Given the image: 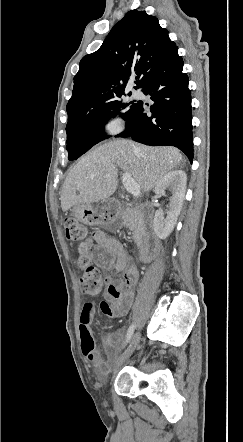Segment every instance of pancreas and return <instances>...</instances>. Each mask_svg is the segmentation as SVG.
I'll use <instances>...</instances> for the list:
<instances>
[{"label":"pancreas","mask_w":243,"mask_h":442,"mask_svg":"<svg viewBox=\"0 0 243 442\" xmlns=\"http://www.w3.org/2000/svg\"><path fill=\"white\" fill-rule=\"evenodd\" d=\"M121 224L127 226L133 234L136 244H139L142 238V223L134 209L129 207L123 209L120 214Z\"/></svg>","instance_id":"pancreas-1"}]
</instances>
